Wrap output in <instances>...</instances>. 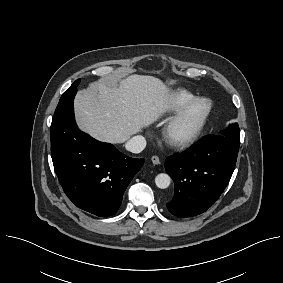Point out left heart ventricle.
Segmentation results:
<instances>
[{"instance_id": "1", "label": "left heart ventricle", "mask_w": 283, "mask_h": 283, "mask_svg": "<svg viewBox=\"0 0 283 283\" xmlns=\"http://www.w3.org/2000/svg\"><path fill=\"white\" fill-rule=\"evenodd\" d=\"M204 109V104H200L191 114L189 120L186 123V127H190L191 125L194 124V122L196 121L197 117L200 115V113L203 111Z\"/></svg>"}]
</instances>
